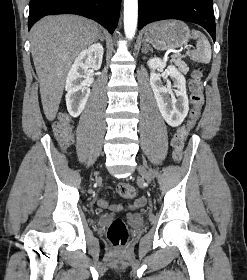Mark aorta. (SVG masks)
<instances>
[{
	"label": "aorta",
	"instance_id": "aorta-1",
	"mask_svg": "<svg viewBox=\"0 0 247 280\" xmlns=\"http://www.w3.org/2000/svg\"><path fill=\"white\" fill-rule=\"evenodd\" d=\"M138 18V0H124V32L131 40L136 33Z\"/></svg>",
	"mask_w": 247,
	"mask_h": 280
}]
</instances>
